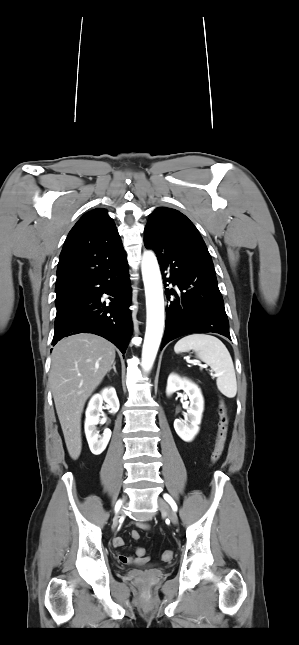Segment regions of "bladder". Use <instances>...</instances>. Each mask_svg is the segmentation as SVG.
<instances>
[{
	"label": "bladder",
	"instance_id": "obj_1",
	"mask_svg": "<svg viewBox=\"0 0 299 645\" xmlns=\"http://www.w3.org/2000/svg\"><path fill=\"white\" fill-rule=\"evenodd\" d=\"M150 566H151L150 564H144V565H142V567H150Z\"/></svg>",
	"mask_w": 299,
	"mask_h": 645
}]
</instances>
